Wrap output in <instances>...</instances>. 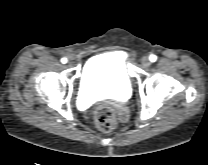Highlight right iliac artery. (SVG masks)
<instances>
[{"mask_svg":"<svg viewBox=\"0 0 208 165\" xmlns=\"http://www.w3.org/2000/svg\"><path fill=\"white\" fill-rule=\"evenodd\" d=\"M61 62H62L63 64H65V63L67 62V59H66V58H62V59H61Z\"/></svg>","mask_w":208,"mask_h":165,"instance_id":"right-iliac-artery-1","label":"right iliac artery"}]
</instances>
